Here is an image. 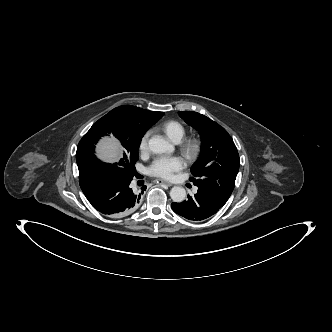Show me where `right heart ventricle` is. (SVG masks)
<instances>
[{
	"label": "right heart ventricle",
	"mask_w": 332,
	"mask_h": 332,
	"mask_svg": "<svg viewBox=\"0 0 332 332\" xmlns=\"http://www.w3.org/2000/svg\"><path fill=\"white\" fill-rule=\"evenodd\" d=\"M160 129L171 141L176 143L180 142L186 134V128L184 125L176 120H170L163 123L160 126Z\"/></svg>",
	"instance_id": "1"
}]
</instances>
